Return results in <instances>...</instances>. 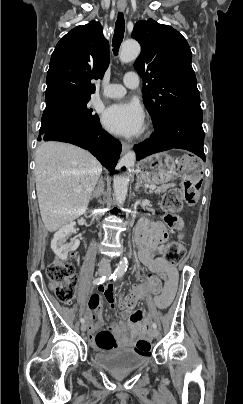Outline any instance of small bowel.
I'll return each instance as SVG.
<instances>
[{
    "label": "small bowel",
    "instance_id": "c3829d8e",
    "mask_svg": "<svg viewBox=\"0 0 243 404\" xmlns=\"http://www.w3.org/2000/svg\"><path fill=\"white\" fill-rule=\"evenodd\" d=\"M135 238L139 247V258L141 262L147 266L150 271L159 274L164 280V286L161 293L153 297L154 304L159 309L167 308L172 302L178 284V271L175 266L169 264L156 254L162 249L163 244L168 238V233L164 225L160 222L149 223L142 221L139 223ZM105 299L111 306L114 304L115 294L111 286L100 287L99 293H94L89 299V308L93 312V316L89 318L90 335L102 325V320L97 317L103 306ZM154 313L151 311L147 315L140 310L134 311L127 321L121 324L113 323L111 331L122 345H131L136 338L144 334L147 327L151 323ZM130 330V334L127 331Z\"/></svg>",
    "mask_w": 243,
    "mask_h": 404
}]
</instances>
